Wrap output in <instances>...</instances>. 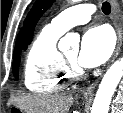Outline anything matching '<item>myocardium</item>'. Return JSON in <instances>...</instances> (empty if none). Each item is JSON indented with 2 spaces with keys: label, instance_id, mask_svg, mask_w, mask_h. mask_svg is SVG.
Instances as JSON below:
<instances>
[{
  "label": "myocardium",
  "instance_id": "myocardium-1",
  "mask_svg": "<svg viewBox=\"0 0 123 113\" xmlns=\"http://www.w3.org/2000/svg\"><path fill=\"white\" fill-rule=\"evenodd\" d=\"M66 68L70 78H78L82 75V70L77 66L74 60H71L66 54L63 55Z\"/></svg>",
  "mask_w": 123,
  "mask_h": 113
}]
</instances>
